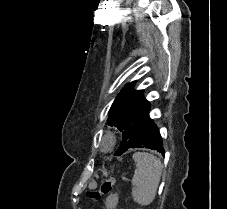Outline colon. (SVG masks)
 <instances>
[{
    "label": "colon",
    "mask_w": 227,
    "mask_h": 209,
    "mask_svg": "<svg viewBox=\"0 0 227 209\" xmlns=\"http://www.w3.org/2000/svg\"><path fill=\"white\" fill-rule=\"evenodd\" d=\"M114 184H115L114 178L105 179L101 182L99 190H90L87 192L86 195L92 201L97 202L99 200L100 194L111 191Z\"/></svg>",
    "instance_id": "colon-1"
}]
</instances>
